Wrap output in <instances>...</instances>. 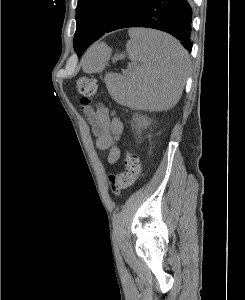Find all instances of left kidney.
Returning <instances> with one entry per match:
<instances>
[{"mask_svg":"<svg viewBox=\"0 0 245 300\" xmlns=\"http://www.w3.org/2000/svg\"><path fill=\"white\" fill-rule=\"evenodd\" d=\"M134 120L137 123L136 125L137 133H140L142 129L147 128L151 123L150 119L138 114L134 116Z\"/></svg>","mask_w":245,"mask_h":300,"instance_id":"obj_1","label":"left kidney"}]
</instances>
